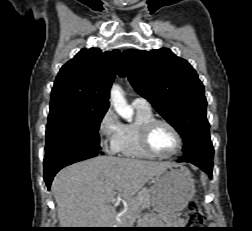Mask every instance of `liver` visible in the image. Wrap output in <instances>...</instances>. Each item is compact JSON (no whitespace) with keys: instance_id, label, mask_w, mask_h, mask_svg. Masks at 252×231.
Masks as SVG:
<instances>
[{"instance_id":"liver-1","label":"liver","mask_w":252,"mask_h":231,"mask_svg":"<svg viewBox=\"0 0 252 231\" xmlns=\"http://www.w3.org/2000/svg\"><path fill=\"white\" fill-rule=\"evenodd\" d=\"M169 162L98 156L61 170L52 182L62 228H111L116 211L106 202L118 194L130 202Z\"/></svg>"}]
</instances>
